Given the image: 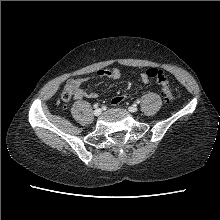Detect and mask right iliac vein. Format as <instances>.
Masks as SVG:
<instances>
[{"label":"right iliac vein","instance_id":"63e3f726","mask_svg":"<svg viewBox=\"0 0 220 220\" xmlns=\"http://www.w3.org/2000/svg\"><path fill=\"white\" fill-rule=\"evenodd\" d=\"M101 113H102V110H101V109H96V110L94 111V115H95V116H99V115H101Z\"/></svg>","mask_w":220,"mask_h":220}]
</instances>
